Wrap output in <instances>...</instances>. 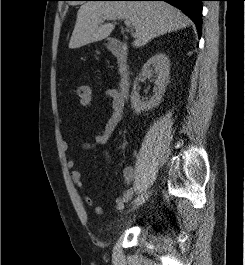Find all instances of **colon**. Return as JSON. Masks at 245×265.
<instances>
[{
  "label": "colon",
  "instance_id": "5ec220e1",
  "mask_svg": "<svg viewBox=\"0 0 245 265\" xmlns=\"http://www.w3.org/2000/svg\"><path fill=\"white\" fill-rule=\"evenodd\" d=\"M76 96L82 106H86L92 102L93 93L89 85H80L76 88Z\"/></svg>",
  "mask_w": 245,
  "mask_h": 265
}]
</instances>
